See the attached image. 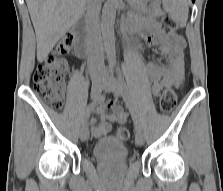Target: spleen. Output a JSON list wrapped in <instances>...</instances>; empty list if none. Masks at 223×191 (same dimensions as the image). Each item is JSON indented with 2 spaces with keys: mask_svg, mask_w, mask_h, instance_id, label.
Wrapping results in <instances>:
<instances>
[{
  "mask_svg": "<svg viewBox=\"0 0 223 191\" xmlns=\"http://www.w3.org/2000/svg\"><path fill=\"white\" fill-rule=\"evenodd\" d=\"M169 1L171 3L169 12L173 15V17L185 23L188 18L187 0H169Z\"/></svg>",
  "mask_w": 223,
  "mask_h": 191,
  "instance_id": "1",
  "label": "spleen"
}]
</instances>
